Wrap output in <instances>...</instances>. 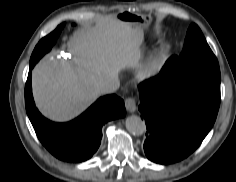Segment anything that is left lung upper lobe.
I'll return each mask as SVG.
<instances>
[{
  "mask_svg": "<svg viewBox=\"0 0 236 182\" xmlns=\"http://www.w3.org/2000/svg\"><path fill=\"white\" fill-rule=\"evenodd\" d=\"M168 71L172 76L220 82L217 58L196 24L192 23L187 31L181 54L170 58Z\"/></svg>",
  "mask_w": 236,
  "mask_h": 182,
  "instance_id": "obj_1",
  "label": "left lung upper lobe"
}]
</instances>
